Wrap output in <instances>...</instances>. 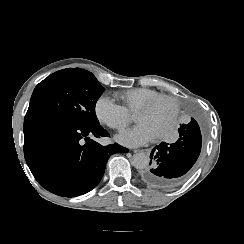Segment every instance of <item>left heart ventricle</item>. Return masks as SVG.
Masks as SVG:
<instances>
[{
    "mask_svg": "<svg viewBox=\"0 0 244 244\" xmlns=\"http://www.w3.org/2000/svg\"><path fill=\"white\" fill-rule=\"evenodd\" d=\"M171 113V104L155 102L148 107L147 112H138L135 118L140 124L146 125L160 137L167 130V119L171 117Z\"/></svg>",
    "mask_w": 244,
    "mask_h": 244,
    "instance_id": "obj_1",
    "label": "left heart ventricle"
}]
</instances>
